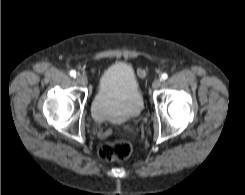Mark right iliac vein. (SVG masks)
<instances>
[{
    "mask_svg": "<svg viewBox=\"0 0 245 195\" xmlns=\"http://www.w3.org/2000/svg\"><path fill=\"white\" fill-rule=\"evenodd\" d=\"M76 81H77L80 85H83V86L87 85V83H88L87 78H86L85 76H83V75H77Z\"/></svg>",
    "mask_w": 245,
    "mask_h": 195,
    "instance_id": "1",
    "label": "right iliac vein"
}]
</instances>
